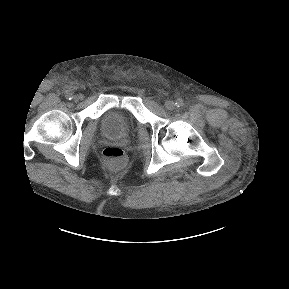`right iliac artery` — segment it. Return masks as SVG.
Wrapping results in <instances>:
<instances>
[{"mask_svg":"<svg viewBox=\"0 0 289 289\" xmlns=\"http://www.w3.org/2000/svg\"><path fill=\"white\" fill-rule=\"evenodd\" d=\"M66 99L71 100L73 98L72 93L67 92L65 95Z\"/></svg>","mask_w":289,"mask_h":289,"instance_id":"82829eb1","label":"right iliac artery"}]
</instances>
